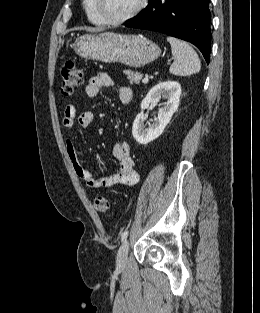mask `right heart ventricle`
<instances>
[{
  "label": "right heart ventricle",
  "mask_w": 260,
  "mask_h": 313,
  "mask_svg": "<svg viewBox=\"0 0 260 313\" xmlns=\"http://www.w3.org/2000/svg\"><path fill=\"white\" fill-rule=\"evenodd\" d=\"M82 6H83V9L86 13L87 18L89 19V21L92 24H95V25H103L104 24L94 9L93 0H83Z\"/></svg>",
  "instance_id": "obj_1"
}]
</instances>
